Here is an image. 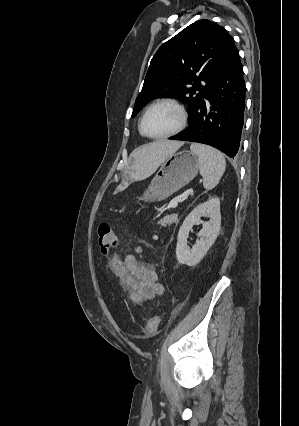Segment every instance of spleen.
Wrapping results in <instances>:
<instances>
[{
  "mask_svg": "<svg viewBox=\"0 0 299 426\" xmlns=\"http://www.w3.org/2000/svg\"><path fill=\"white\" fill-rule=\"evenodd\" d=\"M190 150L198 156L199 171L203 177V185L207 190L213 189L220 181L226 169V161L221 152L202 144H191Z\"/></svg>",
  "mask_w": 299,
  "mask_h": 426,
  "instance_id": "1",
  "label": "spleen"
}]
</instances>
